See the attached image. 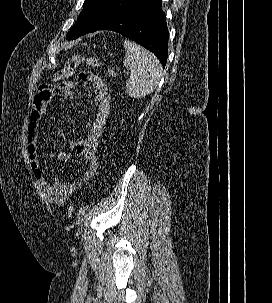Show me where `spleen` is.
Returning a JSON list of instances; mask_svg holds the SVG:
<instances>
[{
  "label": "spleen",
  "mask_w": 272,
  "mask_h": 303,
  "mask_svg": "<svg viewBox=\"0 0 272 303\" xmlns=\"http://www.w3.org/2000/svg\"><path fill=\"white\" fill-rule=\"evenodd\" d=\"M126 56L124 66L130 71L126 81V91L132 98H141L151 94L162 77V65L154 54L140 45L125 40Z\"/></svg>",
  "instance_id": "1"
}]
</instances>
